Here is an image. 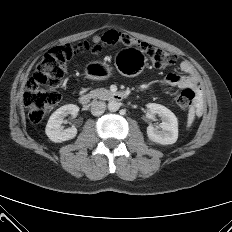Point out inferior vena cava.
Masks as SVG:
<instances>
[{"instance_id": "1", "label": "inferior vena cava", "mask_w": 232, "mask_h": 232, "mask_svg": "<svg viewBox=\"0 0 232 232\" xmlns=\"http://www.w3.org/2000/svg\"><path fill=\"white\" fill-rule=\"evenodd\" d=\"M106 109V103L103 101H96L91 106V113L94 116H100L104 113Z\"/></svg>"}]
</instances>
